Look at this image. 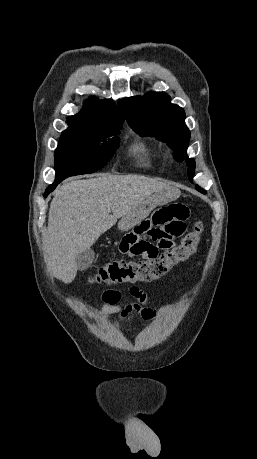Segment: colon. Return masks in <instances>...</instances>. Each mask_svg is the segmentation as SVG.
I'll list each match as a JSON object with an SVG mask.
<instances>
[{"label": "colon", "instance_id": "5ec220e1", "mask_svg": "<svg viewBox=\"0 0 257 459\" xmlns=\"http://www.w3.org/2000/svg\"><path fill=\"white\" fill-rule=\"evenodd\" d=\"M203 229V223L198 221L190 234L184 236L181 242H173L172 251H163L155 261H141L140 263L128 259L113 261L95 271L91 276V281L96 284L151 281L192 255L201 240Z\"/></svg>", "mask_w": 257, "mask_h": 459}]
</instances>
